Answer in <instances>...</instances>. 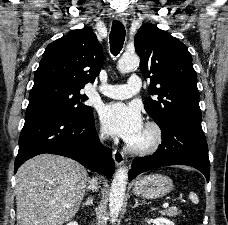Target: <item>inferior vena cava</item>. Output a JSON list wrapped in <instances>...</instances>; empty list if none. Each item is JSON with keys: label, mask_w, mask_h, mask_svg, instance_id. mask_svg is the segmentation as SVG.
I'll list each match as a JSON object with an SVG mask.
<instances>
[{"label": "inferior vena cava", "mask_w": 228, "mask_h": 225, "mask_svg": "<svg viewBox=\"0 0 228 225\" xmlns=\"http://www.w3.org/2000/svg\"><path fill=\"white\" fill-rule=\"evenodd\" d=\"M101 139H103V137H101ZM89 189H92V191L96 189V179H92V181H90Z\"/></svg>", "instance_id": "1"}]
</instances>
